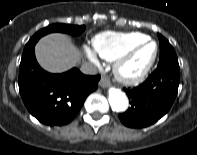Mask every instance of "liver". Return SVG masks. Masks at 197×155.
<instances>
[{
  "label": "liver",
  "instance_id": "obj_1",
  "mask_svg": "<svg viewBox=\"0 0 197 155\" xmlns=\"http://www.w3.org/2000/svg\"><path fill=\"white\" fill-rule=\"evenodd\" d=\"M36 57L42 68L49 72H64L81 59L80 51L68 36L53 33L44 36L35 46Z\"/></svg>",
  "mask_w": 197,
  "mask_h": 155
}]
</instances>
